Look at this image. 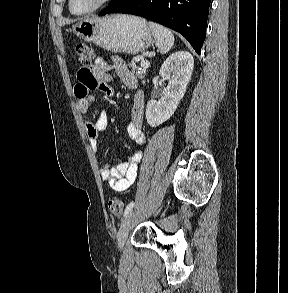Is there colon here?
Segmentation results:
<instances>
[{"label": "colon", "instance_id": "5ec220e1", "mask_svg": "<svg viewBox=\"0 0 288 293\" xmlns=\"http://www.w3.org/2000/svg\"><path fill=\"white\" fill-rule=\"evenodd\" d=\"M76 53L82 68L89 69L94 61L97 60L94 49L84 43L76 45ZM110 212L115 216H120L124 209V204L119 197H111L108 203Z\"/></svg>", "mask_w": 288, "mask_h": 293}]
</instances>
